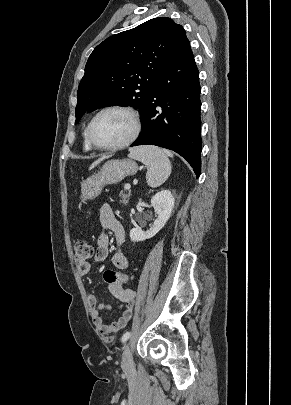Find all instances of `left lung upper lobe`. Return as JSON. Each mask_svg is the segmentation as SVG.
<instances>
[{
	"label": "left lung upper lobe",
	"instance_id": "left-lung-upper-lobe-1",
	"mask_svg": "<svg viewBox=\"0 0 291 405\" xmlns=\"http://www.w3.org/2000/svg\"><path fill=\"white\" fill-rule=\"evenodd\" d=\"M170 18H154L113 35L89 56L77 92L76 122L103 106H133L141 120L150 90L186 40Z\"/></svg>",
	"mask_w": 291,
	"mask_h": 405
}]
</instances>
